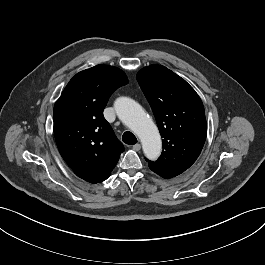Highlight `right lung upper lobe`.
<instances>
[{"label":"right lung upper lobe","instance_id":"1","mask_svg":"<svg viewBox=\"0 0 265 265\" xmlns=\"http://www.w3.org/2000/svg\"><path fill=\"white\" fill-rule=\"evenodd\" d=\"M127 83L119 68L97 65L76 74L54 106L59 152L74 173L90 183L105 179L124 151L103 110L111 94Z\"/></svg>","mask_w":265,"mask_h":265}]
</instances>
